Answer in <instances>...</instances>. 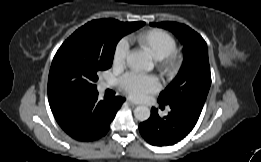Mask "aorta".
<instances>
[{
	"label": "aorta",
	"mask_w": 261,
	"mask_h": 162,
	"mask_svg": "<svg viewBox=\"0 0 261 162\" xmlns=\"http://www.w3.org/2000/svg\"><path fill=\"white\" fill-rule=\"evenodd\" d=\"M128 66L135 71H150L153 64L149 57L141 51H133L127 57ZM134 116L143 122L149 119L150 109L147 106H137L134 109Z\"/></svg>",
	"instance_id": "762f6f07"
}]
</instances>
